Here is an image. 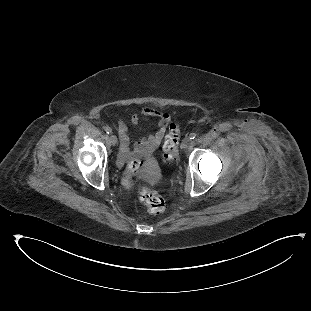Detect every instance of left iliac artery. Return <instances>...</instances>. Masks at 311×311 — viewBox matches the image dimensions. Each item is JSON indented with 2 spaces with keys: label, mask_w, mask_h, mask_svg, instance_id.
Returning <instances> with one entry per match:
<instances>
[{
  "label": "left iliac artery",
  "mask_w": 311,
  "mask_h": 311,
  "mask_svg": "<svg viewBox=\"0 0 311 311\" xmlns=\"http://www.w3.org/2000/svg\"><path fill=\"white\" fill-rule=\"evenodd\" d=\"M196 136H197L196 133H191V134H190V139H194Z\"/></svg>",
  "instance_id": "left-iliac-artery-1"
}]
</instances>
